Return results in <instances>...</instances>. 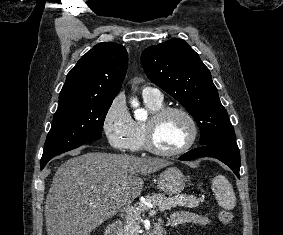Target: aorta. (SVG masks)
Wrapping results in <instances>:
<instances>
[{
    "label": "aorta",
    "instance_id": "obj_1",
    "mask_svg": "<svg viewBox=\"0 0 283 235\" xmlns=\"http://www.w3.org/2000/svg\"><path fill=\"white\" fill-rule=\"evenodd\" d=\"M132 106H133V108H135L134 117L137 120H142V119L146 118V116H147L146 111L143 110V109L138 108L139 104H138V102L136 100L132 101Z\"/></svg>",
    "mask_w": 283,
    "mask_h": 235
}]
</instances>
